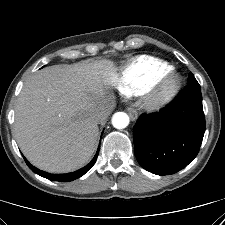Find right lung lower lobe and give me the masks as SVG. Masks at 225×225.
<instances>
[{
	"label": "right lung lower lobe",
	"mask_w": 225,
	"mask_h": 225,
	"mask_svg": "<svg viewBox=\"0 0 225 225\" xmlns=\"http://www.w3.org/2000/svg\"><path fill=\"white\" fill-rule=\"evenodd\" d=\"M98 153H99V149L97 150L96 155L94 156L93 160L86 165L85 167L81 168L80 170H77L75 172H71V173H66V174H51V173H47L44 172L42 170L37 169L36 167L32 166L27 160L25 159L26 164L29 166V168L36 174L53 180V181H60V182H69V181H73L75 179L80 178L81 176H83L88 170H90L92 168V166L95 164L97 157H98Z\"/></svg>",
	"instance_id": "obj_1"
}]
</instances>
